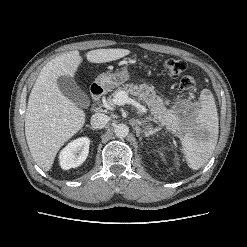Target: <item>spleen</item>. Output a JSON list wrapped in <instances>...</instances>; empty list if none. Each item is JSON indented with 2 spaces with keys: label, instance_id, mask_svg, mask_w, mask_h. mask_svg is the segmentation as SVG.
<instances>
[{
  "label": "spleen",
  "instance_id": "spleen-1",
  "mask_svg": "<svg viewBox=\"0 0 247 247\" xmlns=\"http://www.w3.org/2000/svg\"><path fill=\"white\" fill-rule=\"evenodd\" d=\"M219 121L215 100L208 89L200 95V109L193 126L182 139L188 166L198 170L210 159L218 140Z\"/></svg>",
  "mask_w": 247,
  "mask_h": 247
}]
</instances>
